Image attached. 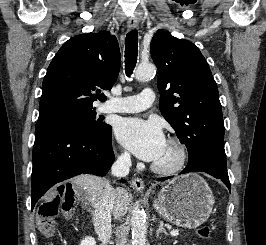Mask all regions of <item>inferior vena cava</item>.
<instances>
[{
    "instance_id": "1",
    "label": "inferior vena cava",
    "mask_w": 266,
    "mask_h": 245,
    "mask_svg": "<svg viewBox=\"0 0 266 245\" xmlns=\"http://www.w3.org/2000/svg\"><path fill=\"white\" fill-rule=\"evenodd\" d=\"M131 167V157L129 153H123L118 157L117 161L111 167V175L113 177H126L129 175ZM115 191L110 183L105 185L104 189L97 191L95 199H93L92 217L94 229L102 243H109L112 235L111 229V213L113 211V199Z\"/></svg>"
}]
</instances>
